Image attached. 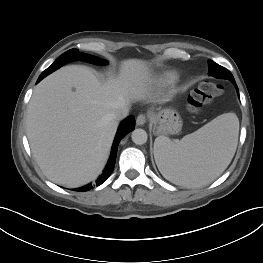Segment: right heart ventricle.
<instances>
[{
  "label": "right heart ventricle",
  "mask_w": 263,
  "mask_h": 263,
  "mask_svg": "<svg viewBox=\"0 0 263 263\" xmlns=\"http://www.w3.org/2000/svg\"><path fill=\"white\" fill-rule=\"evenodd\" d=\"M177 78H178V74L176 72L169 71L162 75L161 80L164 83L170 84V83L175 82Z\"/></svg>",
  "instance_id": "e07e8e85"
}]
</instances>
